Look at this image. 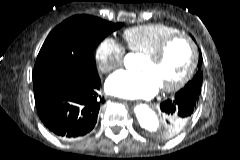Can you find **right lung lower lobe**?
I'll return each mask as SVG.
<instances>
[{
  "label": "right lung lower lobe",
  "mask_w": 240,
  "mask_h": 160,
  "mask_svg": "<svg viewBox=\"0 0 240 160\" xmlns=\"http://www.w3.org/2000/svg\"><path fill=\"white\" fill-rule=\"evenodd\" d=\"M98 74L77 77L51 70L34 79L37 113L44 125L63 138L88 134L97 122L103 98Z\"/></svg>",
  "instance_id": "right-lung-lower-lobe-1"
}]
</instances>
